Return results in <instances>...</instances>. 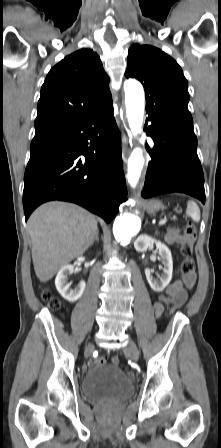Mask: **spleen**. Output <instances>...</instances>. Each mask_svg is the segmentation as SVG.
<instances>
[{
  "label": "spleen",
  "instance_id": "1",
  "mask_svg": "<svg viewBox=\"0 0 221 448\" xmlns=\"http://www.w3.org/2000/svg\"><path fill=\"white\" fill-rule=\"evenodd\" d=\"M186 215L191 217L193 221L198 222L200 220V209L194 201H188Z\"/></svg>",
  "mask_w": 221,
  "mask_h": 448
}]
</instances>
